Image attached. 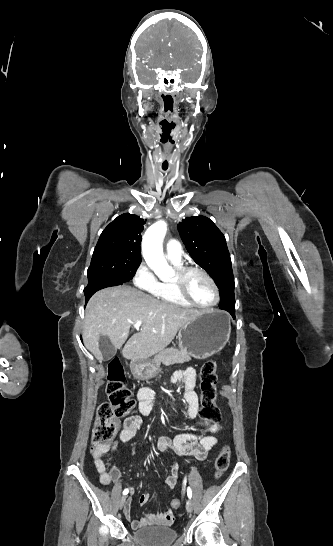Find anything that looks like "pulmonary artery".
Segmentation results:
<instances>
[{
	"label": "pulmonary artery",
	"instance_id": "pulmonary-artery-1",
	"mask_svg": "<svg viewBox=\"0 0 333 546\" xmlns=\"http://www.w3.org/2000/svg\"><path fill=\"white\" fill-rule=\"evenodd\" d=\"M166 256L173 262L182 261V248L179 241L172 239L166 245Z\"/></svg>",
	"mask_w": 333,
	"mask_h": 546
}]
</instances>
